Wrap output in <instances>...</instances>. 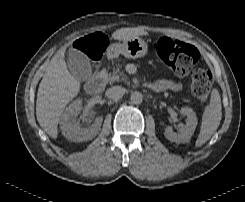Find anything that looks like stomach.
Returning <instances> with one entry per match:
<instances>
[{
    "mask_svg": "<svg viewBox=\"0 0 245 202\" xmlns=\"http://www.w3.org/2000/svg\"><path fill=\"white\" fill-rule=\"evenodd\" d=\"M148 52L147 43L140 37L124 40L122 43L112 44L110 53L113 57L122 54L126 58L136 59L143 57Z\"/></svg>",
    "mask_w": 245,
    "mask_h": 202,
    "instance_id": "stomach-1",
    "label": "stomach"
}]
</instances>
